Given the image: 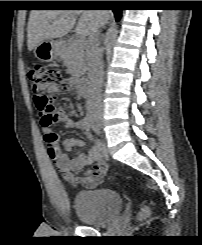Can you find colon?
Returning <instances> with one entry per match:
<instances>
[{"instance_id": "colon-1", "label": "colon", "mask_w": 202, "mask_h": 245, "mask_svg": "<svg viewBox=\"0 0 202 245\" xmlns=\"http://www.w3.org/2000/svg\"><path fill=\"white\" fill-rule=\"evenodd\" d=\"M28 77L32 83L33 101L39 114L40 121L45 125H53L58 122L54 113L51 91H68L70 86L63 78L62 72L57 69H47L41 64H32L28 70ZM58 152L57 145L50 148V156ZM151 215L149 206H142L138 211V218L144 220Z\"/></svg>"}]
</instances>
